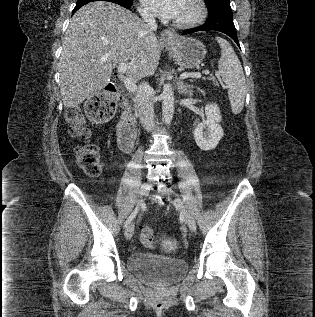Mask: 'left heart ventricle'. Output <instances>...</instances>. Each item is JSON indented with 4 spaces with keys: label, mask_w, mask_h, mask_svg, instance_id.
Returning <instances> with one entry per match:
<instances>
[{
    "label": "left heart ventricle",
    "mask_w": 315,
    "mask_h": 317,
    "mask_svg": "<svg viewBox=\"0 0 315 317\" xmlns=\"http://www.w3.org/2000/svg\"><path fill=\"white\" fill-rule=\"evenodd\" d=\"M196 13L195 5L192 0H184L182 7L175 17V20H188L192 18Z\"/></svg>",
    "instance_id": "b2bd125f"
}]
</instances>
